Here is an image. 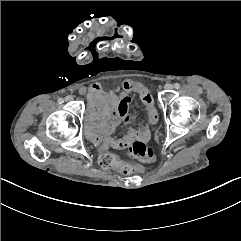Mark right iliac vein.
Listing matches in <instances>:
<instances>
[{
  "mask_svg": "<svg viewBox=\"0 0 241 241\" xmlns=\"http://www.w3.org/2000/svg\"><path fill=\"white\" fill-rule=\"evenodd\" d=\"M72 99H73L72 96H67V97L65 98V101H66V102H69V101H72Z\"/></svg>",
  "mask_w": 241,
  "mask_h": 241,
  "instance_id": "1",
  "label": "right iliac vein"
}]
</instances>
